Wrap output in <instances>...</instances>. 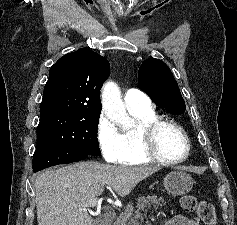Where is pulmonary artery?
I'll use <instances>...</instances> for the list:
<instances>
[{
	"label": "pulmonary artery",
	"instance_id": "pulmonary-artery-1",
	"mask_svg": "<svg viewBox=\"0 0 237 225\" xmlns=\"http://www.w3.org/2000/svg\"><path fill=\"white\" fill-rule=\"evenodd\" d=\"M124 100L128 108L147 109L151 107L149 97L142 91L135 88H130L126 91Z\"/></svg>",
	"mask_w": 237,
	"mask_h": 225
}]
</instances>
